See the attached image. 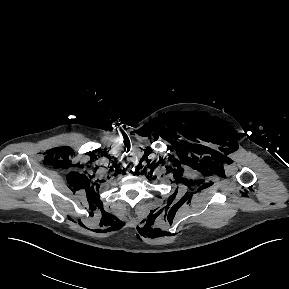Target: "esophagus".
Segmentation results:
<instances>
[{
	"label": "esophagus",
	"instance_id": "obj_1",
	"mask_svg": "<svg viewBox=\"0 0 289 289\" xmlns=\"http://www.w3.org/2000/svg\"><path fill=\"white\" fill-rule=\"evenodd\" d=\"M132 171H133V168H132V169L130 168V169L127 171V173H128V174H131Z\"/></svg>",
	"mask_w": 289,
	"mask_h": 289
}]
</instances>
